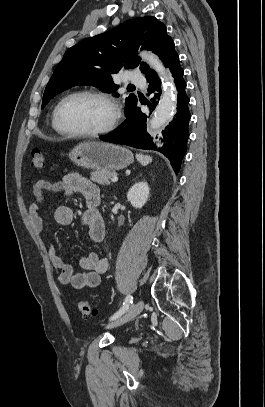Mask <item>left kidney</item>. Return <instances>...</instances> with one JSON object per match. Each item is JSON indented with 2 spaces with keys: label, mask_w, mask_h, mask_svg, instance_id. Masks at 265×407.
Returning a JSON list of instances; mask_svg holds the SVG:
<instances>
[{
  "label": "left kidney",
  "mask_w": 265,
  "mask_h": 407,
  "mask_svg": "<svg viewBox=\"0 0 265 407\" xmlns=\"http://www.w3.org/2000/svg\"><path fill=\"white\" fill-rule=\"evenodd\" d=\"M149 197V186L146 182L135 183L127 193V199L135 208H142Z\"/></svg>",
  "instance_id": "obj_1"
}]
</instances>
